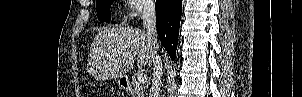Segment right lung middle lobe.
Listing matches in <instances>:
<instances>
[{
	"label": "right lung middle lobe",
	"instance_id": "1",
	"mask_svg": "<svg viewBox=\"0 0 302 97\" xmlns=\"http://www.w3.org/2000/svg\"><path fill=\"white\" fill-rule=\"evenodd\" d=\"M114 0H97L96 1V8H97V15L100 22H110L111 15H110V7Z\"/></svg>",
	"mask_w": 302,
	"mask_h": 97
}]
</instances>
